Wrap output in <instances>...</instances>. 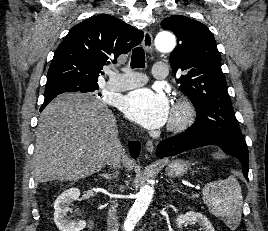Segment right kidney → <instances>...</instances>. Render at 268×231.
Returning <instances> with one entry per match:
<instances>
[{"instance_id":"1","label":"right kidney","mask_w":268,"mask_h":231,"mask_svg":"<svg viewBox=\"0 0 268 231\" xmlns=\"http://www.w3.org/2000/svg\"><path fill=\"white\" fill-rule=\"evenodd\" d=\"M80 196L78 188H70L64 191L54 202V222L60 231H81L85 228L86 222L79 220L71 221L67 214L71 211L70 204Z\"/></svg>"}]
</instances>
